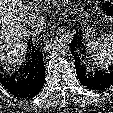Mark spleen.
<instances>
[{
    "instance_id": "1",
    "label": "spleen",
    "mask_w": 113,
    "mask_h": 113,
    "mask_svg": "<svg viewBox=\"0 0 113 113\" xmlns=\"http://www.w3.org/2000/svg\"><path fill=\"white\" fill-rule=\"evenodd\" d=\"M90 61H93L92 70L98 67L105 68L113 61V33L101 36L88 44Z\"/></svg>"
}]
</instances>
